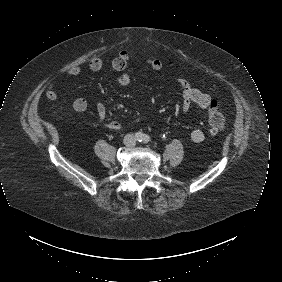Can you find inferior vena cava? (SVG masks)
I'll return each mask as SVG.
<instances>
[{"instance_id":"1","label":"inferior vena cava","mask_w":282,"mask_h":282,"mask_svg":"<svg viewBox=\"0 0 282 282\" xmlns=\"http://www.w3.org/2000/svg\"><path fill=\"white\" fill-rule=\"evenodd\" d=\"M124 144L127 147H133L136 144V138L133 133H128L124 137Z\"/></svg>"}]
</instances>
